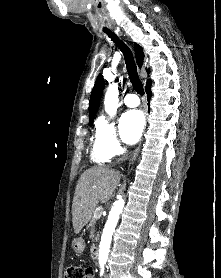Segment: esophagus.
<instances>
[{"label": "esophagus", "instance_id": "1", "mask_svg": "<svg viewBox=\"0 0 221 278\" xmlns=\"http://www.w3.org/2000/svg\"><path fill=\"white\" fill-rule=\"evenodd\" d=\"M139 150H140V146L135 150L133 156H132L131 159H130V163H132L133 161H135V159H136V157H137V155H138V153H139Z\"/></svg>", "mask_w": 221, "mask_h": 278}]
</instances>
